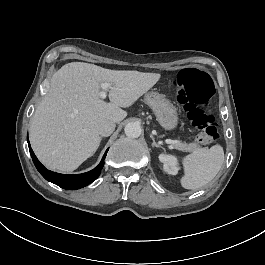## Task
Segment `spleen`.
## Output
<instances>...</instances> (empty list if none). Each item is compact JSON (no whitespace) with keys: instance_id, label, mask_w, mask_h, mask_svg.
Wrapping results in <instances>:
<instances>
[{"instance_id":"1","label":"spleen","mask_w":265,"mask_h":265,"mask_svg":"<svg viewBox=\"0 0 265 265\" xmlns=\"http://www.w3.org/2000/svg\"><path fill=\"white\" fill-rule=\"evenodd\" d=\"M224 162V151L220 145L193 151L183 159L185 176L181 185L185 189L200 188L218 174Z\"/></svg>"}]
</instances>
